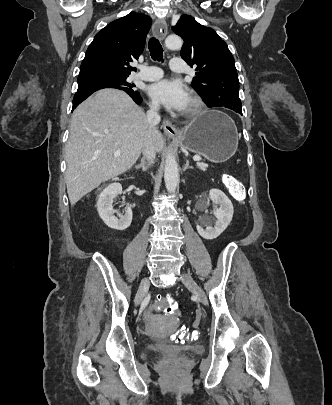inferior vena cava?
<instances>
[{"label":"inferior vena cava","mask_w":332,"mask_h":405,"mask_svg":"<svg viewBox=\"0 0 332 405\" xmlns=\"http://www.w3.org/2000/svg\"><path fill=\"white\" fill-rule=\"evenodd\" d=\"M160 105L157 102H152L150 105V109L147 111L146 115V123L148 126V132L146 134L142 152L144 158L148 161V164H153L156 158V149L153 142V134L157 129V125L159 124L161 118L159 115Z\"/></svg>","instance_id":"inferior-vena-cava-1"}]
</instances>
